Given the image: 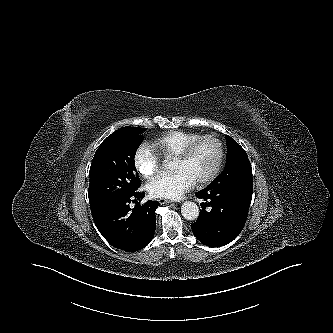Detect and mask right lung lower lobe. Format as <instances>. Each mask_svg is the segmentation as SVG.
<instances>
[{"label":"right lung lower lobe","instance_id":"98d812e1","mask_svg":"<svg viewBox=\"0 0 333 333\" xmlns=\"http://www.w3.org/2000/svg\"><path fill=\"white\" fill-rule=\"evenodd\" d=\"M145 193L133 192L91 207L94 222L102 236L115 248L126 252L140 250L152 240L156 228L155 210L159 202L129 204ZM136 200H133V202Z\"/></svg>","mask_w":333,"mask_h":333}]
</instances>
